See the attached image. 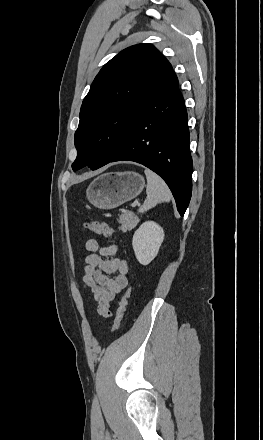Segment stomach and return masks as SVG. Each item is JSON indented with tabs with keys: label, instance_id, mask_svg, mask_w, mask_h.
I'll list each match as a JSON object with an SVG mask.
<instances>
[{
	"label": "stomach",
	"instance_id": "1",
	"mask_svg": "<svg viewBox=\"0 0 263 440\" xmlns=\"http://www.w3.org/2000/svg\"><path fill=\"white\" fill-rule=\"evenodd\" d=\"M144 187V177L138 173L112 172L94 179L86 195L95 207L113 209L138 196Z\"/></svg>",
	"mask_w": 263,
	"mask_h": 440
}]
</instances>
